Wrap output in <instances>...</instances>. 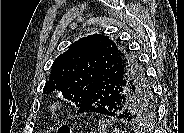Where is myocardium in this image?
Returning a JSON list of instances; mask_svg holds the SVG:
<instances>
[{"mask_svg":"<svg viewBox=\"0 0 184 133\" xmlns=\"http://www.w3.org/2000/svg\"><path fill=\"white\" fill-rule=\"evenodd\" d=\"M62 107H63L62 101L56 100V101H54L53 104L51 105V111H52L53 113H57V112H59V111L62 110Z\"/></svg>","mask_w":184,"mask_h":133,"instance_id":"f54148a6","label":"myocardium"}]
</instances>
